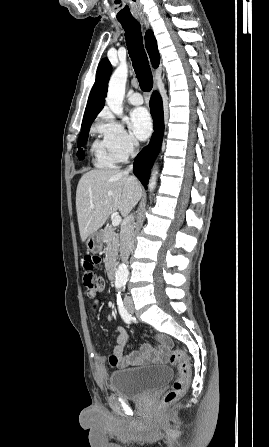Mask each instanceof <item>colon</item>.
<instances>
[{
	"label": "colon",
	"mask_w": 269,
	"mask_h": 447,
	"mask_svg": "<svg viewBox=\"0 0 269 447\" xmlns=\"http://www.w3.org/2000/svg\"><path fill=\"white\" fill-rule=\"evenodd\" d=\"M85 262L82 263V284L85 288L87 298H95L98 293L103 290L104 282L92 271H102L103 263L101 262L100 253H85ZM169 364L178 367V376L172 383L171 388L163 395L162 403L170 405L174 403L179 396L185 393L191 379V364L186 354L182 350H171L167 353ZM109 364L115 367L118 364V358L115 354H110L108 358Z\"/></svg>",
	"instance_id": "colon-1"
}]
</instances>
